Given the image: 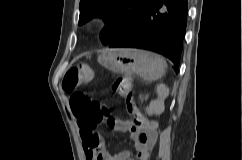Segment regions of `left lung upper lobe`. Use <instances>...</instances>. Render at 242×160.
Wrapping results in <instances>:
<instances>
[{"label":"left lung upper lobe","mask_w":242,"mask_h":160,"mask_svg":"<svg viewBox=\"0 0 242 160\" xmlns=\"http://www.w3.org/2000/svg\"><path fill=\"white\" fill-rule=\"evenodd\" d=\"M149 0H81L79 25L103 16L106 27L101 32L103 44L124 35L135 23Z\"/></svg>","instance_id":"obj_1"}]
</instances>
